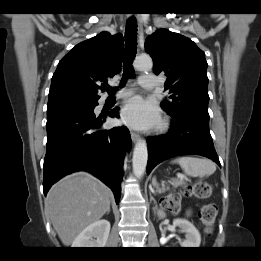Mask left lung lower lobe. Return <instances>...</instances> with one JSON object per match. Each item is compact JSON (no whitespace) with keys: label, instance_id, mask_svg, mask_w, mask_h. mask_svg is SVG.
Listing matches in <instances>:
<instances>
[{"label":"left lung lower lobe","instance_id":"0a47b994","mask_svg":"<svg viewBox=\"0 0 261 261\" xmlns=\"http://www.w3.org/2000/svg\"><path fill=\"white\" fill-rule=\"evenodd\" d=\"M172 117L169 133L147 138V174L160 162L181 155H202L220 166L210 135L209 118L188 112Z\"/></svg>","mask_w":261,"mask_h":261}]
</instances>
